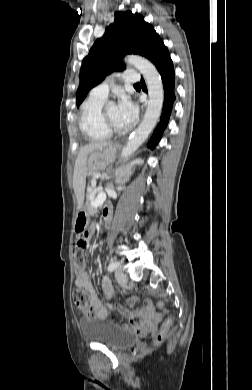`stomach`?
<instances>
[{"mask_svg": "<svg viewBox=\"0 0 252 390\" xmlns=\"http://www.w3.org/2000/svg\"><path fill=\"white\" fill-rule=\"evenodd\" d=\"M115 156L116 146L112 145L90 153L86 162L87 174L91 175L103 170L107 164L115 159ZM88 208L89 207L85 205L77 212L74 221L75 232H81L88 227L90 222V213Z\"/></svg>", "mask_w": 252, "mask_h": 390, "instance_id": "stomach-1", "label": "stomach"}]
</instances>
